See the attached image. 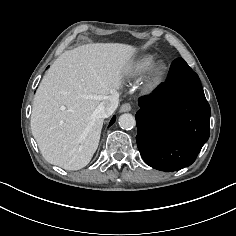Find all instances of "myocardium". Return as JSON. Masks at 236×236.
Returning a JSON list of instances; mask_svg holds the SVG:
<instances>
[{
  "instance_id": "obj_1",
  "label": "myocardium",
  "mask_w": 236,
  "mask_h": 236,
  "mask_svg": "<svg viewBox=\"0 0 236 236\" xmlns=\"http://www.w3.org/2000/svg\"><path fill=\"white\" fill-rule=\"evenodd\" d=\"M168 73L167 65L160 61L153 64L146 72L141 82L143 93L151 95L156 93L166 80Z\"/></svg>"
}]
</instances>
